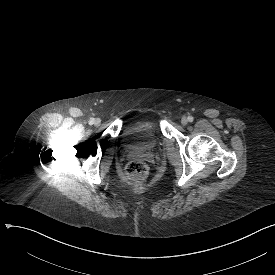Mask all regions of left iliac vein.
<instances>
[{
  "mask_svg": "<svg viewBox=\"0 0 275 275\" xmlns=\"http://www.w3.org/2000/svg\"><path fill=\"white\" fill-rule=\"evenodd\" d=\"M181 123H182L183 125H186V124L188 123V119H187L186 117H182Z\"/></svg>",
  "mask_w": 275,
  "mask_h": 275,
  "instance_id": "4c4485c4",
  "label": "left iliac vein"
}]
</instances>
